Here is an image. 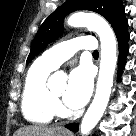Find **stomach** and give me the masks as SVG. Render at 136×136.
Returning a JSON list of instances; mask_svg holds the SVG:
<instances>
[{"mask_svg": "<svg viewBox=\"0 0 136 136\" xmlns=\"http://www.w3.org/2000/svg\"><path fill=\"white\" fill-rule=\"evenodd\" d=\"M56 136H69L67 133L64 132H57Z\"/></svg>", "mask_w": 136, "mask_h": 136, "instance_id": "stomach-1", "label": "stomach"}]
</instances>
